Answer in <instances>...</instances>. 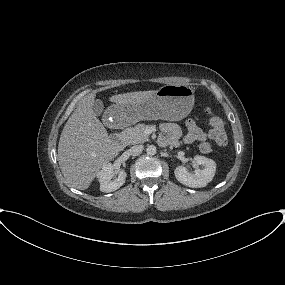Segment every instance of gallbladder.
<instances>
[{"mask_svg":"<svg viewBox=\"0 0 285 285\" xmlns=\"http://www.w3.org/2000/svg\"><path fill=\"white\" fill-rule=\"evenodd\" d=\"M103 109H104V105L101 100L97 99L93 102L92 110H93L94 115L99 116L103 112Z\"/></svg>","mask_w":285,"mask_h":285,"instance_id":"1","label":"gallbladder"}]
</instances>
